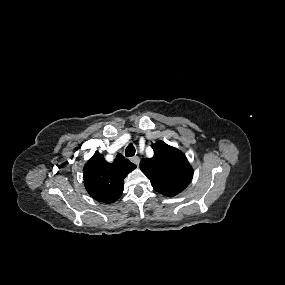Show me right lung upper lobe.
Returning <instances> with one entry per match:
<instances>
[{
	"mask_svg": "<svg viewBox=\"0 0 285 285\" xmlns=\"http://www.w3.org/2000/svg\"><path fill=\"white\" fill-rule=\"evenodd\" d=\"M135 168L136 165L122 155H117L112 163H108L96 151L83 169L85 188L95 200L113 203L122 195L124 178Z\"/></svg>",
	"mask_w": 285,
	"mask_h": 285,
	"instance_id": "obj_1",
	"label": "right lung upper lobe"
}]
</instances>
